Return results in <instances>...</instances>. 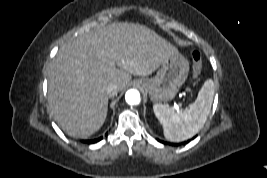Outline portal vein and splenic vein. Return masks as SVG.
<instances>
[{
  "label": "portal vein and splenic vein",
  "instance_id": "18ae733b",
  "mask_svg": "<svg viewBox=\"0 0 267 178\" xmlns=\"http://www.w3.org/2000/svg\"><path fill=\"white\" fill-rule=\"evenodd\" d=\"M179 108H180V105H177V106H176V109L179 110Z\"/></svg>",
  "mask_w": 267,
  "mask_h": 178
}]
</instances>
